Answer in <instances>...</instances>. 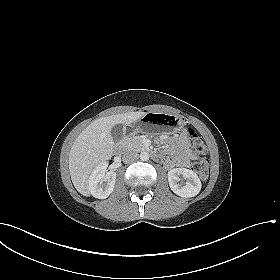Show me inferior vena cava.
<instances>
[{"label": "inferior vena cava", "mask_w": 280, "mask_h": 280, "mask_svg": "<svg viewBox=\"0 0 280 280\" xmlns=\"http://www.w3.org/2000/svg\"><path fill=\"white\" fill-rule=\"evenodd\" d=\"M138 158H139L138 153H136L134 151H127L123 155V161L125 163H132V162L136 161Z\"/></svg>", "instance_id": "inferior-vena-cava-1"}]
</instances>
